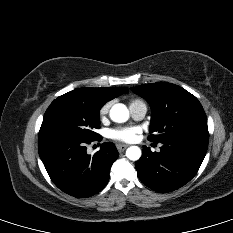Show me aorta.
<instances>
[{"mask_svg":"<svg viewBox=\"0 0 233 233\" xmlns=\"http://www.w3.org/2000/svg\"><path fill=\"white\" fill-rule=\"evenodd\" d=\"M109 115L111 120L117 123H124L129 119V111L122 103L115 104L110 109ZM126 157L132 161L139 160L141 157V149L138 146H130L126 150Z\"/></svg>","mask_w":233,"mask_h":233,"instance_id":"762f6f07","label":"aorta"}]
</instances>
